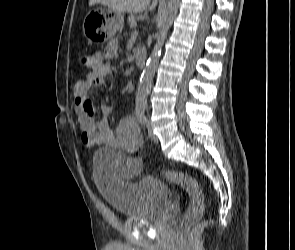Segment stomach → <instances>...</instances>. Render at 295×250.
<instances>
[{"instance_id":"0dacf381","label":"stomach","mask_w":295,"mask_h":250,"mask_svg":"<svg viewBox=\"0 0 295 250\" xmlns=\"http://www.w3.org/2000/svg\"><path fill=\"white\" fill-rule=\"evenodd\" d=\"M124 23L121 12L111 8H97L91 10L83 22V32L93 40V45H104V41L113 37Z\"/></svg>"}]
</instances>
